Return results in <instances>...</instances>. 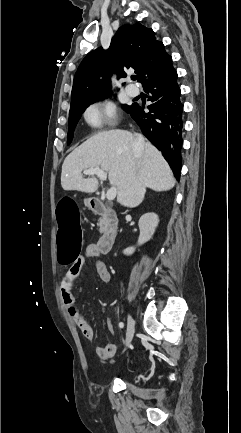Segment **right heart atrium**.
I'll list each match as a JSON object with an SVG mask.
<instances>
[{
  "instance_id": "obj_1",
  "label": "right heart atrium",
  "mask_w": 241,
  "mask_h": 433,
  "mask_svg": "<svg viewBox=\"0 0 241 433\" xmlns=\"http://www.w3.org/2000/svg\"><path fill=\"white\" fill-rule=\"evenodd\" d=\"M84 119L95 127L112 124L115 120V108L111 103H95L86 109Z\"/></svg>"
}]
</instances>
